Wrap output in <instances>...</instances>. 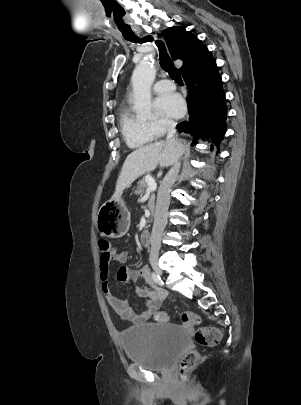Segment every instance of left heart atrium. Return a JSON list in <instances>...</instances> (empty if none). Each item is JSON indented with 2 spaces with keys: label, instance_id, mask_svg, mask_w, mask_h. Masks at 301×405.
Segmentation results:
<instances>
[{
  "label": "left heart atrium",
  "instance_id": "39dd6f15",
  "mask_svg": "<svg viewBox=\"0 0 301 405\" xmlns=\"http://www.w3.org/2000/svg\"><path fill=\"white\" fill-rule=\"evenodd\" d=\"M154 104L161 114L171 118L182 117L186 110L184 100L177 93L162 94L156 98Z\"/></svg>",
  "mask_w": 301,
  "mask_h": 405
}]
</instances>
